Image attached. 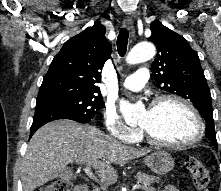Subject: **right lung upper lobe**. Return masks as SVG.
Returning a JSON list of instances; mask_svg holds the SVG:
<instances>
[{
  "label": "right lung upper lobe",
  "instance_id": "1",
  "mask_svg": "<svg viewBox=\"0 0 221 191\" xmlns=\"http://www.w3.org/2000/svg\"><path fill=\"white\" fill-rule=\"evenodd\" d=\"M111 45L99 22L66 41L54 57L40 87L37 102L64 96H101L96 83L110 57Z\"/></svg>",
  "mask_w": 221,
  "mask_h": 191
}]
</instances>
